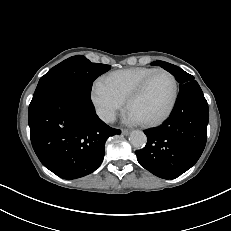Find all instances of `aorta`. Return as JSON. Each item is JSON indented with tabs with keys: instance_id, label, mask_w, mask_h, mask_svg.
Instances as JSON below:
<instances>
[{
	"instance_id": "obj_1",
	"label": "aorta",
	"mask_w": 231,
	"mask_h": 231,
	"mask_svg": "<svg viewBox=\"0 0 231 231\" xmlns=\"http://www.w3.org/2000/svg\"><path fill=\"white\" fill-rule=\"evenodd\" d=\"M129 141L135 148L139 149L146 145L147 137L144 132L140 130H134L130 133Z\"/></svg>"
}]
</instances>
